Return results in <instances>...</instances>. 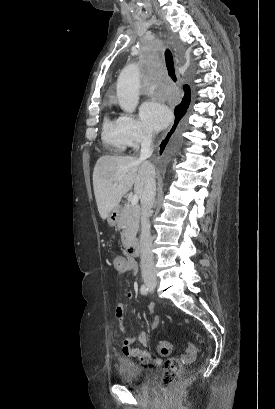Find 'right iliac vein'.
I'll return each mask as SVG.
<instances>
[{
	"label": "right iliac vein",
	"mask_w": 275,
	"mask_h": 409,
	"mask_svg": "<svg viewBox=\"0 0 275 409\" xmlns=\"http://www.w3.org/2000/svg\"><path fill=\"white\" fill-rule=\"evenodd\" d=\"M146 285L150 288V289H154L156 287V283L153 282H147Z\"/></svg>",
	"instance_id": "obj_1"
}]
</instances>
